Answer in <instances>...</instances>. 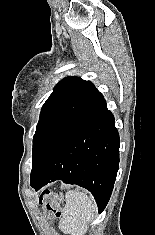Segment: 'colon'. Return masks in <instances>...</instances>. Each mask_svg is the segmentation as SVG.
Returning a JSON list of instances; mask_svg holds the SVG:
<instances>
[{
  "label": "colon",
  "mask_w": 155,
  "mask_h": 235,
  "mask_svg": "<svg viewBox=\"0 0 155 235\" xmlns=\"http://www.w3.org/2000/svg\"><path fill=\"white\" fill-rule=\"evenodd\" d=\"M39 202L44 206L47 214L55 216H59L61 214L60 200L51 192H42L39 196Z\"/></svg>",
  "instance_id": "obj_1"
}]
</instances>
